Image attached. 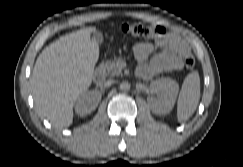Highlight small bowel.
<instances>
[{
  "label": "small bowel",
  "instance_id": "obj_1",
  "mask_svg": "<svg viewBox=\"0 0 243 167\" xmlns=\"http://www.w3.org/2000/svg\"><path fill=\"white\" fill-rule=\"evenodd\" d=\"M159 52L151 58V55ZM138 63L137 72L143 79H153L164 72L179 71L183 58L190 53L189 43L175 32L158 36L154 42H141L134 46Z\"/></svg>",
  "mask_w": 243,
  "mask_h": 167
}]
</instances>
